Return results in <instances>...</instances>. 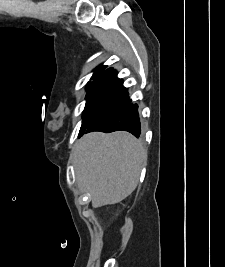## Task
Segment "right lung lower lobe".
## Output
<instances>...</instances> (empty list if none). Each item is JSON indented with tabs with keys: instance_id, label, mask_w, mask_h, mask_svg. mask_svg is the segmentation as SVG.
Segmentation results:
<instances>
[{
	"instance_id": "right-lung-lower-lobe-1",
	"label": "right lung lower lobe",
	"mask_w": 225,
	"mask_h": 267,
	"mask_svg": "<svg viewBox=\"0 0 225 267\" xmlns=\"http://www.w3.org/2000/svg\"><path fill=\"white\" fill-rule=\"evenodd\" d=\"M79 137L92 131L124 130L139 137L141 124L138 105L131 104L127 88L113 68L105 70L88 92Z\"/></svg>"
}]
</instances>
